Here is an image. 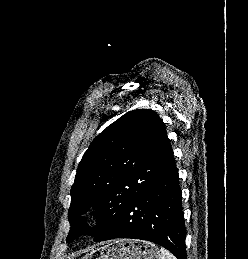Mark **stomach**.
I'll return each instance as SVG.
<instances>
[{
    "label": "stomach",
    "mask_w": 248,
    "mask_h": 259,
    "mask_svg": "<svg viewBox=\"0 0 248 259\" xmlns=\"http://www.w3.org/2000/svg\"><path fill=\"white\" fill-rule=\"evenodd\" d=\"M81 259H161V254L153 243L122 239L95 248Z\"/></svg>",
    "instance_id": "stomach-1"
}]
</instances>
